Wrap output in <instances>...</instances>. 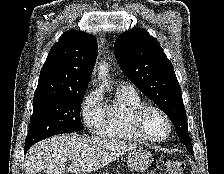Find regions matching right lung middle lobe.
<instances>
[{
    "mask_svg": "<svg viewBox=\"0 0 224 174\" xmlns=\"http://www.w3.org/2000/svg\"><path fill=\"white\" fill-rule=\"evenodd\" d=\"M83 95L34 97L33 115L25 146L53 135L83 130L80 120Z\"/></svg>",
    "mask_w": 224,
    "mask_h": 174,
    "instance_id": "1",
    "label": "right lung middle lobe"
}]
</instances>
